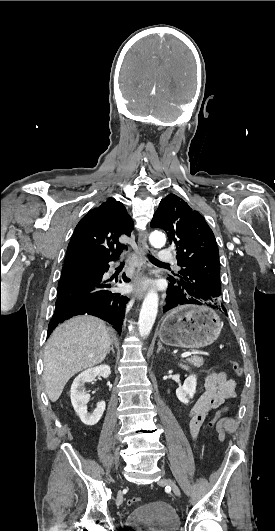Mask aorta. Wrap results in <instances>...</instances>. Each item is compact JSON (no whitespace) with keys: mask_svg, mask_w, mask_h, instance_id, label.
Returning <instances> with one entry per match:
<instances>
[{"mask_svg":"<svg viewBox=\"0 0 275 531\" xmlns=\"http://www.w3.org/2000/svg\"><path fill=\"white\" fill-rule=\"evenodd\" d=\"M149 241L153 247H163L165 245V237L162 233H151ZM158 303L159 297L156 291H149L147 293L141 307L139 321H138V331L140 337L146 339L152 331V327L155 323V319L158 313Z\"/></svg>","mask_w":275,"mask_h":531,"instance_id":"762f6f07","label":"aorta"}]
</instances>
